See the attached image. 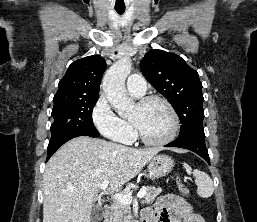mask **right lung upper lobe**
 <instances>
[{
	"label": "right lung upper lobe",
	"instance_id": "obj_1",
	"mask_svg": "<svg viewBox=\"0 0 257 222\" xmlns=\"http://www.w3.org/2000/svg\"><path fill=\"white\" fill-rule=\"evenodd\" d=\"M106 66L100 55L74 61L60 80L53 102L98 96Z\"/></svg>",
	"mask_w": 257,
	"mask_h": 222
}]
</instances>
